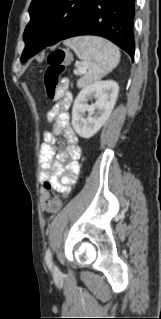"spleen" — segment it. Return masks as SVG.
<instances>
[{
	"mask_svg": "<svg viewBox=\"0 0 161 319\" xmlns=\"http://www.w3.org/2000/svg\"><path fill=\"white\" fill-rule=\"evenodd\" d=\"M65 45L74 50L88 69L77 82L78 88H86L111 72L120 61L119 49L111 42L95 36L70 39Z\"/></svg>",
	"mask_w": 161,
	"mask_h": 319,
	"instance_id": "3e777b00",
	"label": "spleen"
}]
</instances>
